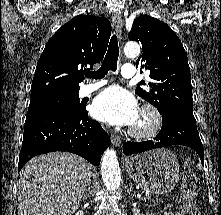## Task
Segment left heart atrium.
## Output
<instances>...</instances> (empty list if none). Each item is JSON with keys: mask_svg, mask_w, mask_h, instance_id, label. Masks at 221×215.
<instances>
[{"mask_svg": "<svg viewBox=\"0 0 221 215\" xmlns=\"http://www.w3.org/2000/svg\"><path fill=\"white\" fill-rule=\"evenodd\" d=\"M91 111L96 119L118 126H133L139 117L135 98L119 86L102 91L95 98Z\"/></svg>", "mask_w": 221, "mask_h": 215, "instance_id": "39dd6f15", "label": "left heart atrium"}]
</instances>
